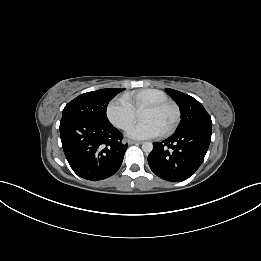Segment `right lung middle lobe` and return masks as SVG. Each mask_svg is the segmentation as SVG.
<instances>
[{
    "instance_id": "right-lung-middle-lobe-1",
    "label": "right lung middle lobe",
    "mask_w": 261,
    "mask_h": 261,
    "mask_svg": "<svg viewBox=\"0 0 261 261\" xmlns=\"http://www.w3.org/2000/svg\"><path fill=\"white\" fill-rule=\"evenodd\" d=\"M124 88H107L87 92L69 102L63 109V116L69 115L97 123H110L106 116L109 101Z\"/></svg>"
}]
</instances>
